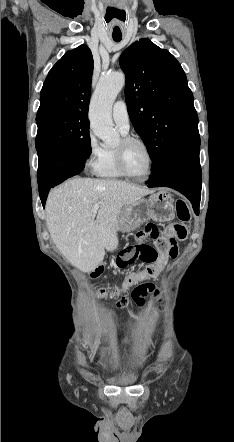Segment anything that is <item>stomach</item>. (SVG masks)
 <instances>
[{
  "instance_id": "obj_1",
  "label": "stomach",
  "mask_w": 234,
  "mask_h": 442,
  "mask_svg": "<svg viewBox=\"0 0 234 442\" xmlns=\"http://www.w3.org/2000/svg\"><path fill=\"white\" fill-rule=\"evenodd\" d=\"M173 202L169 191L159 189L148 199H140L122 208L116 226L117 230L131 232L150 219L157 222L171 221L175 217Z\"/></svg>"
}]
</instances>
